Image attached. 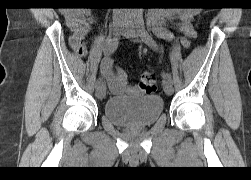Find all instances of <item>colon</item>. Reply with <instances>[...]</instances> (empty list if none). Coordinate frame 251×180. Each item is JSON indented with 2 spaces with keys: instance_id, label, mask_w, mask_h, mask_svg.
I'll list each match as a JSON object with an SVG mask.
<instances>
[{
  "instance_id": "colon-1",
  "label": "colon",
  "mask_w": 251,
  "mask_h": 180,
  "mask_svg": "<svg viewBox=\"0 0 251 180\" xmlns=\"http://www.w3.org/2000/svg\"><path fill=\"white\" fill-rule=\"evenodd\" d=\"M156 77L150 72H144L139 81V88L146 94H150L156 89Z\"/></svg>"
}]
</instances>
